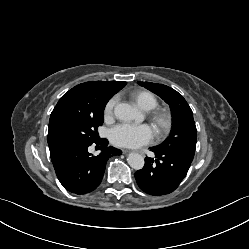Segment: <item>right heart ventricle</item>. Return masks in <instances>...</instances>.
<instances>
[{
	"label": "right heart ventricle",
	"instance_id": "e07e8e85",
	"mask_svg": "<svg viewBox=\"0 0 249 249\" xmlns=\"http://www.w3.org/2000/svg\"><path fill=\"white\" fill-rule=\"evenodd\" d=\"M135 103L144 110H152L158 105L156 97L148 91H139L132 95Z\"/></svg>",
	"mask_w": 249,
	"mask_h": 249
}]
</instances>
